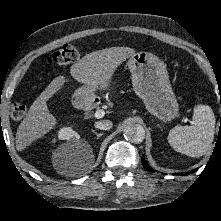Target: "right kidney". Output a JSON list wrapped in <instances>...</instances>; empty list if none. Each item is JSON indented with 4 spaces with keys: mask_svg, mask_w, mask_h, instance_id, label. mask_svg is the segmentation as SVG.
I'll return each mask as SVG.
<instances>
[{
    "mask_svg": "<svg viewBox=\"0 0 221 221\" xmlns=\"http://www.w3.org/2000/svg\"><path fill=\"white\" fill-rule=\"evenodd\" d=\"M58 138L60 140H79L80 135L74 131L71 127L61 128L58 132Z\"/></svg>",
    "mask_w": 221,
    "mask_h": 221,
    "instance_id": "obj_1",
    "label": "right kidney"
}]
</instances>
